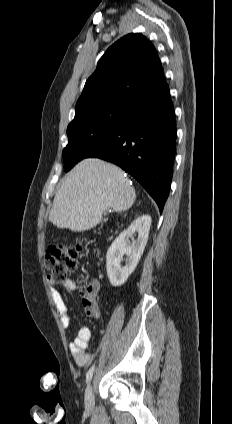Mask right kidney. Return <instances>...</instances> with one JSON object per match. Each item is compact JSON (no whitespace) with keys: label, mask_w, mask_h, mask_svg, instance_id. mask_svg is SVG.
<instances>
[{"label":"right kidney","mask_w":232,"mask_h":424,"mask_svg":"<svg viewBox=\"0 0 232 424\" xmlns=\"http://www.w3.org/2000/svg\"><path fill=\"white\" fill-rule=\"evenodd\" d=\"M151 226V217L142 215L135 219L111 244L106 255V270L110 283L114 287L123 285L135 270L145 249ZM138 235L137 240L130 243L129 238ZM125 265L121 267L123 256Z\"/></svg>","instance_id":"ca27d5eb"}]
</instances>
